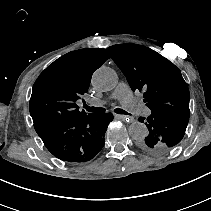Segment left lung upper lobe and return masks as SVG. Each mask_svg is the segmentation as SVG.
Returning <instances> with one entry per match:
<instances>
[{"label": "left lung upper lobe", "instance_id": "obj_1", "mask_svg": "<svg viewBox=\"0 0 211 211\" xmlns=\"http://www.w3.org/2000/svg\"><path fill=\"white\" fill-rule=\"evenodd\" d=\"M133 91L143 92L151 114L145 122L149 130L142 148L164 153L182 141L189 121V89L180 70L156 51L136 44L108 48Z\"/></svg>", "mask_w": 211, "mask_h": 211}]
</instances>
